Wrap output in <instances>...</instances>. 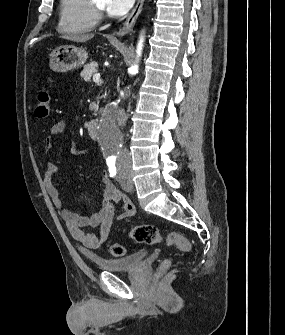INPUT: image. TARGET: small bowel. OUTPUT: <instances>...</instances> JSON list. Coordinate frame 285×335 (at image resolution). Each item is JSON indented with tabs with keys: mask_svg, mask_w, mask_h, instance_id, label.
I'll return each mask as SVG.
<instances>
[{
	"mask_svg": "<svg viewBox=\"0 0 285 335\" xmlns=\"http://www.w3.org/2000/svg\"><path fill=\"white\" fill-rule=\"evenodd\" d=\"M67 123L60 120L52 125L45 139L44 149L51 151L54 138L66 130ZM57 162H49L43 176V183L60 217L73 238L84 248L92 249L104 241L115 221L128 219L135 214V207L129 197L118 190L107 174L102 175L103 194L101 206L93 214L82 216L64 207L59 191L53 182V176L58 170ZM117 208L119 212H117ZM99 228L97 234L86 232L85 228Z\"/></svg>",
	"mask_w": 285,
	"mask_h": 335,
	"instance_id": "1",
	"label": "small bowel"
}]
</instances>
